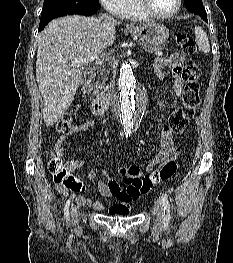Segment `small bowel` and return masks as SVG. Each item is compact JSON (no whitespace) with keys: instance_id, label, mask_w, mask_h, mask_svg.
Segmentation results:
<instances>
[{"instance_id":"c3829d8e","label":"small bowel","mask_w":233,"mask_h":263,"mask_svg":"<svg viewBox=\"0 0 233 263\" xmlns=\"http://www.w3.org/2000/svg\"><path fill=\"white\" fill-rule=\"evenodd\" d=\"M185 62V56L182 53L175 52L168 57L157 58L154 64L155 73L160 80L165 78L163 68L167 66L171 69L173 90L177 97L183 96L184 93V83L180 74ZM94 124L95 123L92 120L77 124L71 128L69 133L78 134L85 132L93 127ZM66 141V134H63L58 138L52 148L53 158L62 160ZM178 154L179 148L173 144L169 131L167 127H165L161 133V150L147 167V171H151L150 173L142 174L138 165L131 164L122 170L123 179L120 182L112 179L97 182V188L100 194L106 198L115 199L118 203L106 209L101 202L93 201L87 196H77V203L81 206L92 207L97 211H107L111 216H127L130 211L131 203L139 199L140 196L146 194L156 184H147L145 182V179L152 176L156 171H153L154 167L166 160L174 159ZM83 165V160H73L68 162V173L71 175V173L81 168ZM98 172H101L103 175L107 174L106 170L103 168H93L86 174V178L93 180L96 178ZM57 189L63 195H67L69 191H80V189H64L62 183H57Z\"/></svg>"}]
</instances>
